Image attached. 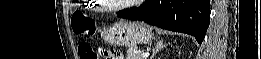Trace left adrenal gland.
Returning <instances> with one entry per match:
<instances>
[{"label":"left adrenal gland","mask_w":261,"mask_h":59,"mask_svg":"<svg viewBox=\"0 0 261 59\" xmlns=\"http://www.w3.org/2000/svg\"><path fill=\"white\" fill-rule=\"evenodd\" d=\"M166 46H167V44H163V40H159V41L156 43V45H155V47L153 48V50H152V54H151L150 59H153L154 56L156 55V53L159 52V50L163 49V48L166 47Z\"/></svg>","instance_id":"obj_1"}]
</instances>
